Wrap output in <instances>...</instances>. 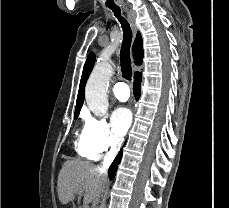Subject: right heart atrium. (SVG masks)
I'll return each mask as SVG.
<instances>
[{"mask_svg": "<svg viewBox=\"0 0 229 208\" xmlns=\"http://www.w3.org/2000/svg\"><path fill=\"white\" fill-rule=\"evenodd\" d=\"M85 147L96 155L121 145L120 138L115 136L105 119L94 115H86L81 135Z\"/></svg>", "mask_w": 229, "mask_h": 208, "instance_id": "1", "label": "right heart atrium"}]
</instances>
